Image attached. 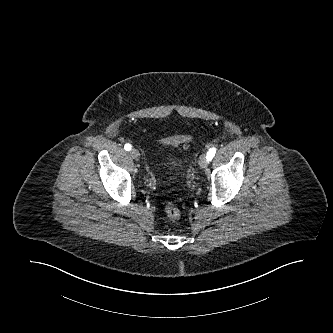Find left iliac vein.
Segmentation results:
<instances>
[{"label": "left iliac vein", "mask_w": 333, "mask_h": 333, "mask_svg": "<svg viewBox=\"0 0 333 333\" xmlns=\"http://www.w3.org/2000/svg\"><path fill=\"white\" fill-rule=\"evenodd\" d=\"M199 166L201 169H206L208 167V160L206 154H202L198 160Z\"/></svg>", "instance_id": "left-iliac-vein-1"}]
</instances>
